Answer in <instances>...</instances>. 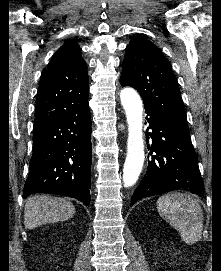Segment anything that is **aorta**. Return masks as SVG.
<instances>
[{
  "instance_id": "762f6f07",
  "label": "aorta",
  "mask_w": 221,
  "mask_h": 271,
  "mask_svg": "<svg viewBox=\"0 0 221 271\" xmlns=\"http://www.w3.org/2000/svg\"><path fill=\"white\" fill-rule=\"evenodd\" d=\"M120 99L128 124L127 155L123 168V182L125 187H130L137 182L145 159L142 132L143 104L139 94L133 88L122 89Z\"/></svg>"
}]
</instances>
